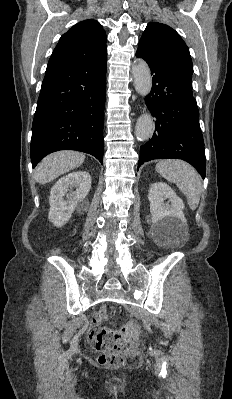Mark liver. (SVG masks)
Returning <instances> with one entry per match:
<instances>
[{
	"label": "liver",
	"instance_id": "obj_1",
	"mask_svg": "<svg viewBox=\"0 0 232 399\" xmlns=\"http://www.w3.org/2000/svg\"><path fill=\"white\" fill-rule=\"evenodd\" d=\"M84 160V154H79V152H54L38 164L34 178L38 184H48L62 174H67V172L79 168Z\"/></svg>",
	"mask_w": 232,
	"mask_h": 399
}]
</instances>
